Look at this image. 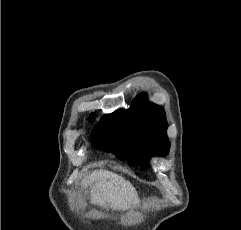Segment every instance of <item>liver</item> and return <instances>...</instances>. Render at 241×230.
<instances>
[{"label": "liver", "instance_id": "6515ba94", "mask_svg": "<svg viewBox=\"0 0 241 230\" xmlns=\"http://www.w3.org/2000/svg\"><path fill=\"white\" fill-rule=\"evenodd\" d=\"M91 179L96 182L92 192V203L105 207L107 202L110 206L120 207L137 200L133 186L115 173L100 170L94 172Z\"/></svg>", "mask_w": 241, "mask_h": 230}]
</instances>
